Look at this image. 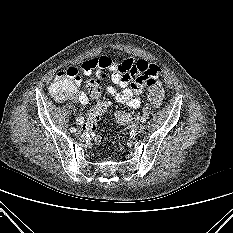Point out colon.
Instances as JSON below:
<instances>
[{
    "label": "colon",
    "mask_w": 233,
    "mask_h": 233,
    "mask_svg": "<svg viewBox=\"0 0 233 233\" xmlns=\"http://www.w3.org/2000/svg\"><path fill=\"white\" fill-rule=\"evenodd\" d=\"M148 90L147 97L150 103L155 107H160L163 101V90L160 84L156 79L148 80ZM86 88L88 90L89 95L97 100L95 106L88 113L85 123L84 129L93 134L99 120L102 115L107 111L109 105L106 101L100 100L101 98V86L100 81L91 77L86 82ZM51 95L58 101L66 100L74 90L73 80L69 74L66 72H59L54 80V82L50 86Z\"/></svg>",
    "instance_id": "5ec220e1"
}]
</instances>
